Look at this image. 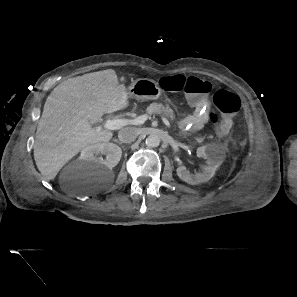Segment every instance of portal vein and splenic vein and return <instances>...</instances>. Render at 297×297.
I'll list each match as a JSON object with an SVG mask.
<instances>
[{
	"instance_id": "1",
	"label": "portal vein and splenic vein",
	"mask_w": 297,
	"mask_h": 297,
	"mask_svg": "<svg viewBox=\"0 0 297 297\" xmlns=\"http://www.w3.org/2000/svg\"><path fill=\"white\" fill-rule=\"evenodd\" d=\"M146 115L138 116L135 119L128 120V119H107L106 122L103 124V128L106 130H118L128 124L140 125L143 124L147 120ZM162 121L167 127H171L170 122L165 118L162 117ZM98 130H101V127H98Z\"/></svg>"
}]
</instances>
